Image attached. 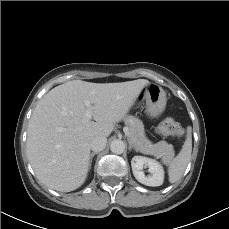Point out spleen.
I'll return each mask as SVG.
<instances>
[{
    "mask_svg": "<svg viewBox=\"0 0 229 229\" xmlns=\"http://www.w3.org/2000/svg\"><path fill=\"white\" fill-rule=\"evenodd\" d=\"M192 153L191 130L188 128L186 140L178 155L168 164L169 182L175 183L183 175Z\"/></svg>",
    "mask_w": 229,
    "mask_h": 229,
    "instance_id": "obj_1",
    "label": "spleen"
}]
</instances>
